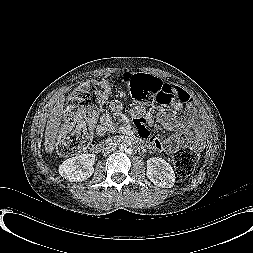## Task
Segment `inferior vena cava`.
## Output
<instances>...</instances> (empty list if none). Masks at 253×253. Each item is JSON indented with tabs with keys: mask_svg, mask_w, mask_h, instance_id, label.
<instances>
[{
	"mask_svg": "<svg viewBox=\"0 0 253 253\" xmlns=\"http://www.w3.org/2000/svg\"><path fill=\"white\" fill-rule=\"evenodd\" d=\"M116 151V148L114 147V146H110L109 148H108V150L106 151V153H114Z\"/></svg>",
	"mask_w": 253,
	"mask_h": 253,
	"instance_id": "602c4592",
	"label": "inferior vena cava"
}]
</instances>
